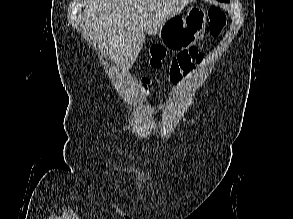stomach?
<instances>
[{
	"label": "stomach",
	"mask_w": 293,
	"mask_h": 219,
	"mask_svg": "<svg viewBox=\"0 0 293 219\" xmlns=\"http://www.w3.org/2000/svg\"><path fill=\"white\" fill-rule=\"evenodd\" d=\"M205 28V11L199 7H191L184 17L175 15L168 19L157 34L165 47L181 51L202 39Z\"/></svg>",
	"instance_id": "1"
}]
</instances>
